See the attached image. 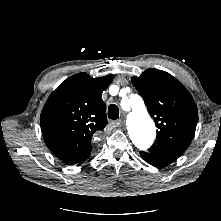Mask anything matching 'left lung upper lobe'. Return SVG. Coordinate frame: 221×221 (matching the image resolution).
Masks as SVG:
<instances>
[{
    "label": "left lung upper lobe",
    "mask_w": 221,
    "mask_h": 221,
    "mask_svg": "<svg viewBox=\"0 0 221 221\" xmlns=\"http://www.w3.org/2000/svg\"><path fill=\"white\" fill-rule=\"evenodd\" d=\"M131 80L158 128L149 152L180 157L197 125L198 112L191 94L172 75L155 68Z\"/></svg>",
    "instance_id": "left-lung-upper-lobe-1"
}]
</instances>
